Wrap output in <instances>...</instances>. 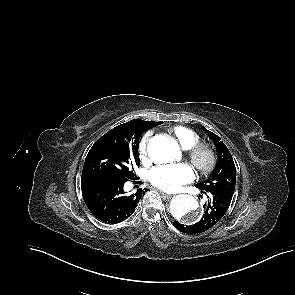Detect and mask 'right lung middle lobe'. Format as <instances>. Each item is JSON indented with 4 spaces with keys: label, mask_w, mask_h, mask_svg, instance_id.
Returning a JSON list of instances; mask_svg holds the SVG:
<instances>
[{
    "label": "right lung middle lobe",
    "mask_w": 295,
    "mask_h": 295,
    "mask_svg": "<svg viewBox=\"0 0 295 295\" xmlns=\"http://www.w3.org/2000/svg\"><path fill=\"white\" fill-rule=\"evenodd\" d=\"M162 122H138L121 130H110L99 138L85 159L81 181L133 179V166L140 165L138 155L141 135Z\"/></svg>",
    "instance_id": "1"
}]
</instances>
